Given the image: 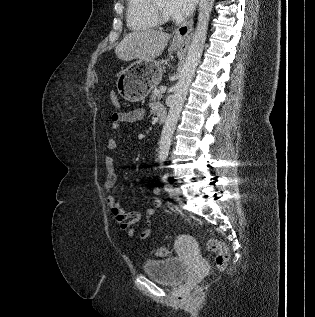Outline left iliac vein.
I'll return each mask as SVG.
<instances>
[{"mask_svg": "<svg viewBox=\"0 0 315 317\" xmlns=\"http://www.w3.org/2000/svg\"><path fill=\"white\" fill-rule=\"evenodd\" d=\"M181 193L180 189L178 187H173L170 191V196L171 197H177Z\"/></svg>", "mask_w": 315, "mask_h": 317, "instance_id": "obj_1", "label": "left iliac vein"}]
</instances>
